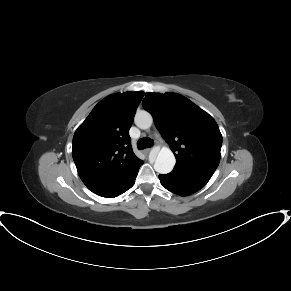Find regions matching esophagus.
<instances>
[{
  "mask_svg": "<svg viewBox=\"0 0 291 291\" xmlns=\"http://www.w3.org/2000/svg\"><path fill=\"white\" fill-rule=\"evenodd\" d=\"M150 151H151V149L148 148V149H145L143 152L147 155Z\"/></svg>",
  "mask_w": 291,
  "mask_h": 291,
  "instance_id": "34e87169",
  "label": "esophagus"
}]
</instances>
